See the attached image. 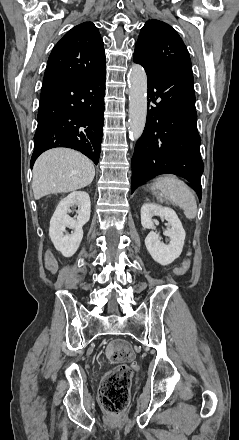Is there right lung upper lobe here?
<instances>
[{"instance_id": "right-lung-upper-lobe-1", "label": "right lung upper lobe", "mask_w": 239, "mask_h": 440, "mask_svg": "<svg viewBox=\"0 0 239 440\" xmlns=\"http://www.w3.org/2000/svg\"><path fill=\"white\" fill-rule=\"evenodd\" d=\"M105 70L103 40L92 22L69 30L53 48L44 81L94 76Z\"/></svg>"}]
</instances>
